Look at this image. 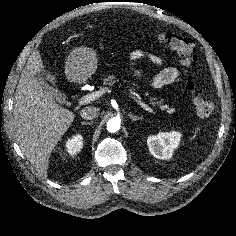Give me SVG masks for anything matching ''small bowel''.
Segmentation results:
<instances>
[{"label": "small bowel", "instance_id": "c3829d8e", "mask_svg": "<svg viewBox=\"0 0 236 236\" xmlns=\"http://www.w3.org/2000/svg\"><path fill=\"white\" fill-rule=\"evenodd\" d=\"M141 60H148L151 63L159 66L165 65V61L155 54H151L141 50L134 51L129 56V64L134 75L140 79L147 81L154 88H161L165 85L171 84L178 80L181 76V72L177 67L167 66L162 70L160 74H158L154 78L147 79L143 71L138 66V62Z\"/></svg>", "mask_w": 236, "mask_h": 236}]
</instances>
